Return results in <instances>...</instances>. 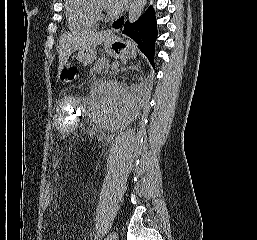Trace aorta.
Returning a JSON list of instances; mask_svg holds the SVG:
<instances>
[{"label": "aorta", "instance_id": "aorta-1", "mask_svg": "<svg viewBox=\"0 0 257 240\" xmlns=\"http://www.w3.org/2000/svg\"><path fill=\"white\" fill-rule=\"evenodd\" d=\"M145 4L146 0H132L128 13L129 22L133 23L141 16Z\"/></svg>", "mask_w": 257, "mask_h": 240}]
</instances>
